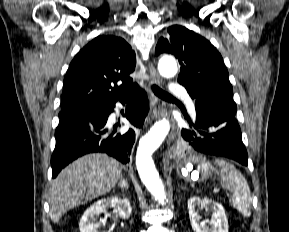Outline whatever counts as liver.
Instances as JSON below:
<instances>
[{
    "label": "liver",
    "mask_w": 289,
    "mask_h": 232,
    "mask_svg": "<svg viewBox=\"0 0 289 232\" xmlns=\"http://www.w3.org/2000/svg\"><path fill=\"white\" fill-rule=\"evenodd\" d=\"M121 173V164L102 153L85 155L72 162L52 181L51 220L58 223L70 209L110 192Z\"/></svg>",
    "instance_id": "1"
}]
</instances>
